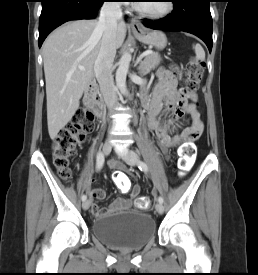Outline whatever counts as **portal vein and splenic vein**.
I'll use <instances>...</instances> for the list:
<instances>
[{
  "label": "portal vein and splenic vein",
  "mask_w": 258,
  "mask_h": 275,
  "mask_svg": "<svg viewBox=\"0 0 258 275\" xmlns=\"http://www.w3.org/2000/svg\"><path fill=\"white\" fill-rule=\"evenodd\" d=\"M152 53H153V52H152V51H149V50L143 52V53L141 54V56L138 58V62L141 61V59H142L143 57H145V56H147V55H149V54H152ZM80 69L83 70V68H80Z\"/></svg>",
  "instance_id": "18ae733b"
}]
</instances>
